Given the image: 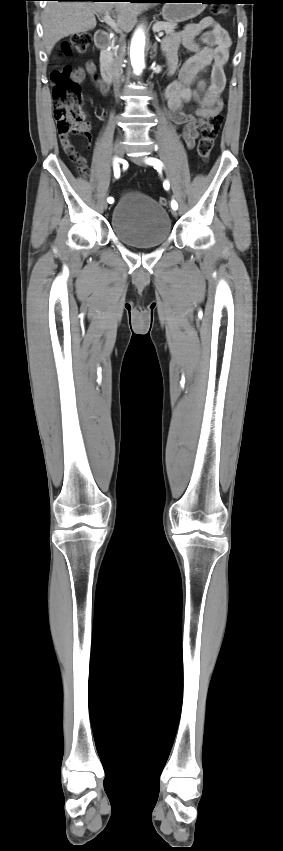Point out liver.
Listing matches in <instances>:
<instances>
[{
	"mask_svg": "<svg viewBox=\"0 0 283 851\" xmlns=\"http://www.w3.org/2000/svg\"><path fill=\"white\" fill-rule=\"evenodd\" d=\"M149 7L148 3L134 2L48 1L42 15L46 53L50 55L61 39L94 29L95 13H109L114 8L118 27L129 32L136 17Z\"/></svg>",
	"mask_w": 283,
	"mask_h": 851,
	"instance_id": "6515ba94",
	"label": "liver"
}]
</instances>
